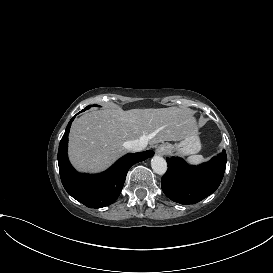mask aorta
Returning a JSON list of instances; mask_svg holds the SVG:
<instances>
[{
    "instance_id": "obj_1",
    "label": "aorta",
    "mask_w": 273,
    "mask_h": 273,
    "mask_svg": "<svg viewBox=\"0 0 273 273\" xmlns=\"http://www.w3.org/2000/svg\"><path fill=\"white\" fill-rule=\"evenodd\" d=\"M151 167L156 174L163 175L167 171L166 160L161 156H154L151 159Z\"/></svg>"
}]
</instances>
